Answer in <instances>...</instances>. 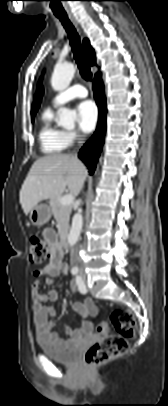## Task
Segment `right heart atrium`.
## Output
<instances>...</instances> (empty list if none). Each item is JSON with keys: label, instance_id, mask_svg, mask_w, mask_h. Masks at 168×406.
I'll list each match as a JSON object with an SVG mask.
<instances>
[{"label": "right heart atrium", "instance_id": "d8ad5b80", "mask_svg": "<svg viewBox=\"0 0 168 406\" xmlns=\"http://www.w3.org/2000/svg\"><path fill=\"white\" fill-rule=\"evenodd\" d=\"M66 136H67L69 144H72L81 139V135L74 130L67 131Z\"/></svg>", "mask_w": 168, "mask_h": 406}]
</instances>
